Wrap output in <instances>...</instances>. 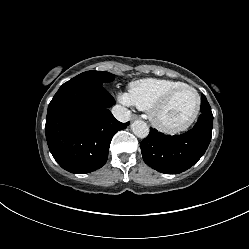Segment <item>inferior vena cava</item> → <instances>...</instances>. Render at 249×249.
I'll use <instances>...</instances> for the list:
<instances>
[{
  "mask_svg": "<svg viewBox=\"0 0 249 249\" xmlns=\"http://www.w3.org/2000/svg\"><path fill=\"white\" fill-rule=\"evenodd\" d=\"M112 114L120 122H127L130 120L131 117V112L121 105L113 106Z\"/></svg>",
  "mask_w": 249,
  "mask_h": 249,
  "instance_id": "inferior-vena-cava-1",
  "label": "inferior vena cava"
}]
</instances>
